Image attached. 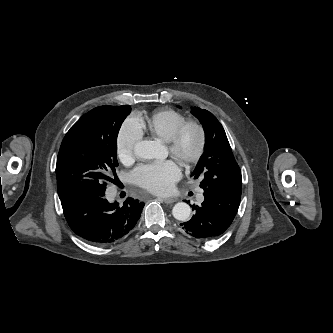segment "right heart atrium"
<instances>
[{
  "label": "right heart atrium",
  "mask_w": 333,
  "mask_h": 333,
  "mask_svg": "<svg viewBox=\"0 0 333 333\" xmlns=\"http://www.w3.org/2000/svg\"><path fill=\"white\" fill-rule=\"evenodd\" d=\"M142 135L143 131L138 120L134 116L127 117L116 137V153L121 162L127 163L132 160L135 147Z\"/></svg>",
  "instance_id": "1"
}]
</instances>
